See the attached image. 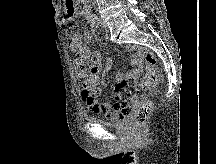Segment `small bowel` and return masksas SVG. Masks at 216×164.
Listing matches in <instances>:
<instances>
[{"label":"small bowel","mask_w":216,"mask_h":164,"mask_svg":"<svg viewBox=\"0 0 216 164\" xmlns=\"http://www.w3.org/2000/svg\"><path fill=\"white\" fill-rule=\"evenodd\" d=\"M84 38L91 42L93 35L91 32L86 31ZM69 48L76 54L74 59V69L76 70L77 77L82 81L81 97L87 106L95 113L104 114L107 118L112 120L122 119L127 116L135 99L130 102H120L119 91L122 84L126 80L137 81L142 73V56L143 51L138 49L132 58V71H126L117 75L116 86V102L100 103L97 97L101 94L104 81L101 76L102 68V54L100 52H93L91 48L83 43L80 33H74L69 41ZM89 63V68L86 65Z\"/></svg>","instance_id":"obj_1"}]
</instances>
